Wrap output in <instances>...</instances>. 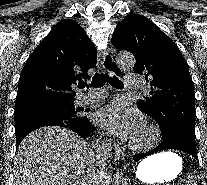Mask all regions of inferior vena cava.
I'll list each match as a JSON object with an SVG mask.
<instances>
[{
  "mask_svg": "<svg viewBox=\"0 0 207 185\" xmlns=\"http://www.w3.org/2000/svg\"><path fill=\"white\" fill-rule=\"evenodd\" d=\"M91 149H96L95 145H94V147H91ZM95 185H96V183H95Z\"/></svg>",
  "mask_w": 207,
  "mask_h": 185,
  "instance_id": "1",
  "label": "inferior vena cava"
}]
</instances>
